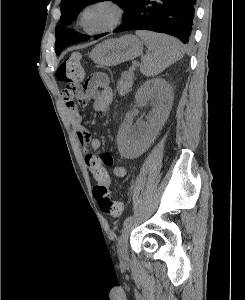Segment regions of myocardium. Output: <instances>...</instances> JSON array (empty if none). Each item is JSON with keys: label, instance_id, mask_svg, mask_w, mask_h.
Returning <instances> with one entry per match:
<instances>
[{"label": "myocardium", "instance_id": "1", "mask_svg": "<svg viewBox=\"0 0 245 300\" xmlns=\"http://www.w3.org/2000/svg\"><path fill=\"white\" fill-rule=\"evenodd\" d=\"M95 8H106L111 11L113 17L112 20L105 26L90 29L85 25V16L86 14ZM125 15V11L123 7L115 0H94L87 5H85L79 14V25L80 27L90 34H100L112 30L113 28L117 27L123 20Z\"/></svg>", "mask_w": 245, "mask_h": 300}]
</instances>
